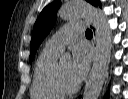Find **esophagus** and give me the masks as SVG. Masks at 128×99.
Wrapping results in <instances>:
<instances>
[{"label": "esophagus", "instance_id": "esophagus-1", "mask_svg": "<svg viewBox=\"0 0 128 99\" xmlns=\"http://www.w3.org/2000/svg\"><path fill=\"white\" fill-rule=\"evenodd\" d=\"M86 22L90 26V28L92 29V32H93L92 44H93V48L96 50L97 49V29L91 21L87 20Z\"/></svg>", "mask_w": 128, "mask_h": 99}]
</instances>
